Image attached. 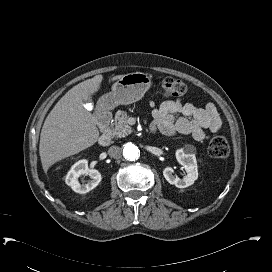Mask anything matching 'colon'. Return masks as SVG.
Listing matches in <instances>:
<instances>
[{"instance_id":"colon-1","label":"colon","mask_w":272,"mask_h":272,"mask_svg":"<svg viewBox=\"0 0 272 272\" xmlns=\"http://www.w3.org/2000/svg\"><path fill=\"white\" fill-rule=\"evenodd\" d=\"M163 95L167 98H181L188 93V86L178 80L166 77L161 81ZM230 151L227 140L222 136H214L209 143V152L213 157H227Z\"/></svg>"}]
</instances>
